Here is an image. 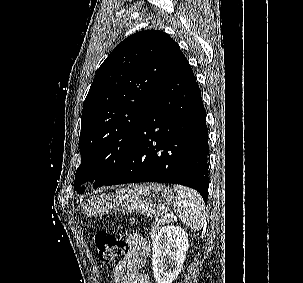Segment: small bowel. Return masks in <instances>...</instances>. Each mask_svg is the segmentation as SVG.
<instances>
[{
	"instance_id": "1",
	"label": "small bowel",
	"mask_w": 303,
	"mask_h": 283,
	"mask_svg": "<svg viewBox=\"0 0 303 283\" xmlns=\"http://www.w3.org/2000/svg\"><path fill=\"white\" fill-rule=\"evenodd\" d=\"M150 255L149 242L139 234L126 238V251L114 267L115 283H152L148 275L140 274Z\"/></svg>"
}]
</instances>
